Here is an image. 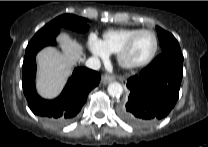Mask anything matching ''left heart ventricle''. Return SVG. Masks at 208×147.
<instances>
[{
    "label": "left heart ventricle",
    "mask_w": 208,
    "mask_h": 147,
    "mask_svg": "<svg viewBox=\"0 0 208 147\" xmlns=\"http://www.w3.org/2000/svg\"><path fill=\"white\" fill-rule=\"evenodd\" d=\"M154 47V37L149 33L142 34L132 45L127 60L134 63L145 61L152 54Z\"/></svg>",
    "instance_id": "1"
}]
</instances>
